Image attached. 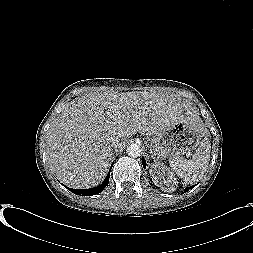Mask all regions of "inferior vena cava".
I'll return each instance as SVG.
<instances>
[{
    "label": "inferior vena cava",
    "mask_w": 253,
    "mask_h": 253,
    "mask_svg": "<svg viewBox=\"0 0 253 253\" xmlns=\"http://www.w3.org/2000/svg\"><path fill=\"white\" fill-rule=\"evenodd\" d=\"M111 143L114 148H121L123 146V139L121 137H114Z\"/></svg>",
    "instance_id": "1"
}]
</instances>
